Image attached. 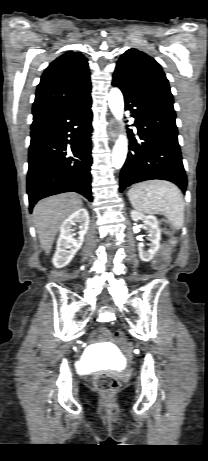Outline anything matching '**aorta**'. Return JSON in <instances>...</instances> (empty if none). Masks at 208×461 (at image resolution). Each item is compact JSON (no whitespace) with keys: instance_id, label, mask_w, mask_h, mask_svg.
<instances>
[{"instance_id":"obj_1","label":"aorta","mask_w":208,"mask_h":461,"mask_svg":"<svg viewBox=\"0 0 208 461\" xmlns=\"http://www.w3.org/2000/svg\"><path fill=\"white\" fill-rule=\"evenodd\" d=\"M108 104L115 119L122 124L124 114V100L121 91L118 88H112L108 95ZM128 143L125 135L120 134L114 145L112 152V165L120 169L126 159Z\"/></svg>"}]
</instances>
